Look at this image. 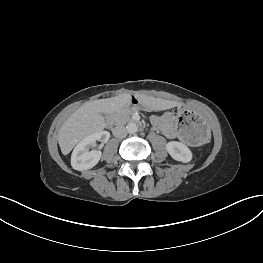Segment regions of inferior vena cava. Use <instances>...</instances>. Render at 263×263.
Instances as JSON below:
<instances>
[{"label": "inferior vena cava", "mask_w": 263, "mask_h": 263, "mask_svg": "<svg viewBox=\"0 0 263 263\" xmlns=\"http://www.w3.org/2000/svg\"><path fill=\"white\" fill-rule=\"evenodd\" d=\"M112 133L117 138H123L126 136L127 131L124 126H116L115 128H113Z\"/></svg>", "instance_id": "602c4592"}]
</instances>
